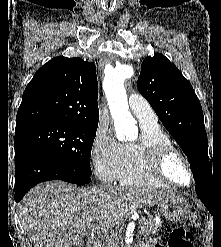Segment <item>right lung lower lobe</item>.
Wrapping results in <instances>:
<instances>
[{
    "label": "right lung lower lobe",
    "mask_w": 221,
    "mask_h": 247,
    "mask_svg": "<svg viewBox=\"0 0 221 247\" xmlns=\"http://www.w3.org/2000/svg\"><path fill=\"white\" fill-rule=\"evenodd\" d=\"M15 147V201L19 202L34 185L63 180L74 184H87L89 175L78 172L48 152L26 143Z\"/></svg>",
    "instance_id": "right-lung-lower-lobe-1"
}]
</instances>
